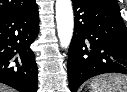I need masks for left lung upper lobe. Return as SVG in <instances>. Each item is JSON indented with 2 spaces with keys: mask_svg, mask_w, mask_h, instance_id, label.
I'll use <instances>...</instances> for the list:
<instances>
[{
  "mask_svg": "<svg viewBox=\"0 0 127 92\" xmlns=\"http://www.w3.org/2000/svg\"><path fill=\"white\" fill-rule=\"evenodd\" d=\"M95 5L104 6L113 9H119L117 0H84Z\"/></svg>",
  "mask_w": 127,
  "mask_h": 92,
  "instance_id": "5c2ea615",
  "label": "left lung upper lobe"
}]
</instances>
